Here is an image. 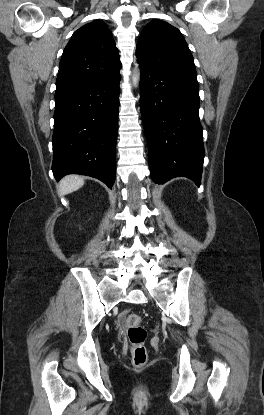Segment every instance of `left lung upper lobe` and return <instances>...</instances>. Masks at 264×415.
Wrapping results in <instances>:
<instances>
[{
    "instance_id": "1",
    "label": "left lung upper lobe",
    "mask_w": 264,
    "mask_h": 415,
    "mask_svg": "<svg viewBox=\"0 0 264 415\" xmlns=\"http://www.w3.org/2000/svg\"><path fill=\"white\" fill-rule=\"evenodd\" d=\"M136 57L138 63L161 72L197 77L181 32L162 20L154 19L142 30Z\"/></svg>"
}]
</instances>
